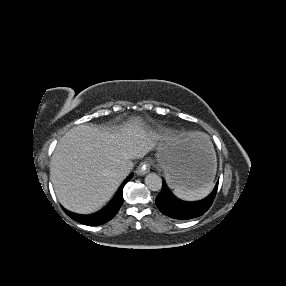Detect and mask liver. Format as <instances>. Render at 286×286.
Segmentation results:
<instances>
[{
	"label": "liver",
	"instance_id": "obj_1",
	"mask_svg": "<svg viewBox=\"0 0 286 286\" xmlns=\"http://www.w3.org/2000/svg\"><path fill=\"white\" fill-rule=\"evenodd\" d=\"M187 137L206 138L201 132H190L161 143V136L139 118L118 131L76 126L59 140L51 157L50 178L57 198L70 211H96L111 199L123 181L116 173L120 164L143 157L155 146L175 149Z\"/></svg>",
	"mask_w": 286,
	"mask_h": 286
}]
</instances>
